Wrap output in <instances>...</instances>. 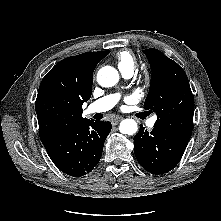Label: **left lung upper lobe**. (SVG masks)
I'll return each instance as SVG.
<instances>
[{
	"label": "left lung upper lobe",
	"mask_w": 221,
	"mask_h": 221,
	"mask_svg": "<svg viewBox=\"0 0 221 221\" xmlns=\"http://www.w3.org/2000/svg\"><path fill=\"white\" fill-rule=\"evenodd\" d=\"M152 69L150 90L144 108L157 114L155 127L190 139L194 97L184 70L157 49L143 50Z\"/></svg>",
	"instance_id": "obj_1"
}]
</instances>
